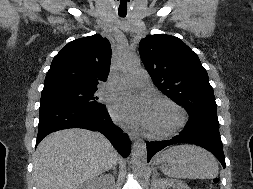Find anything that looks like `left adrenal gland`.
Listing matches in <instances>:
<instances>
[{"label": "left adrenal gland", "instance_id": "1", "mask_svg": "<svg viewBox=\"0 0 253 189\" xmlns=\"http://www.w3.org/2000/svg\"><path fill=\"white\" fill-rule=\"evenodd\" d=\"M157 175H158V173H157V171L154 169V171H153V178L157 177Z\"/></svg>", "mask_w": 253, "mask_h": 189}]
</instances>
